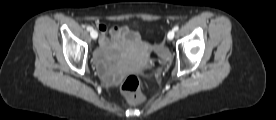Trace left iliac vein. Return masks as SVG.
Wrapping results in <instances>:
<instances>
[{"mask_svg":"<svg viewBox=\"0 0 276 120\" xmlns=\"http://www.w3.org/2000/svg\"><path fill=\"white\" fill-rule=\"evenodd\" d=\"M175 36V33L173 30L169 31L168 34H167V37L169 40H172Z\"/></svg>","mask_w":276,"mask_h":120,"instance_id":"4c4485c4","label":"left iliac vein"}]
</instances>
